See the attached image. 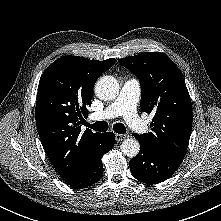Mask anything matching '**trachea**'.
Masks as SVG:
<instances>
[{
  "label": "trachea",
  "mask_w": 221,
  "mask_h": 221,
  "mask_svg": "<svg viewBox=\"0 0 221 221\" xmlns=\"http://www.w3.org/2000/svg\"><path fill=\"white\" fill-rule=\"evenodd\" d=\"M86 126L99 132H105L108 129V124L105 121H98L94 124L86 123ZM113 129L116 133L124 134L126 132V127L122 123H116L113 126Z\"/></svg>",
  "instance_id": "1"
}]
</instances>
